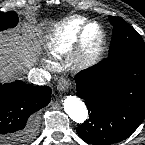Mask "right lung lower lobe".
Masks as SVG:
<instances>
[{
    "label": "right lung lower lobe",
    "mask_w": 145,
    "mask_h": 145,
    "mask_svg": "<svg viewBox=\"0 0 145 145\" xmlns=\"http://www.w3.org/2000/svg\"><path fill=\"white\" fill-rule=\"evenodd\" d=\"M47 86H28L22 81L0 83V141L22 144L34 137V113L51 99Z\"/></svg>",
    "instance_id": "right-lung-lower-lobe-1"
}]
</instances>
